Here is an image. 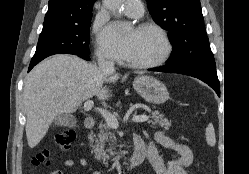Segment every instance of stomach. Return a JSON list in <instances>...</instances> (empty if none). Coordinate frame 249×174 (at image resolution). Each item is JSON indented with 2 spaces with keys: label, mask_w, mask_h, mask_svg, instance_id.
Here are the masks:
<instances>
[{
  "label": "stomach",
  "mask_w": 249,
  "mask_h": 174,
  "mask_svg": "<svg viewBox=\"0 0 249 174\" xmlns=\"http://www.w3.org/2000/svg\"><path fill=\"white\" fill-rule=\"evenodd\" d=\"M133 86L139 95L150 103L162 104L169 99L167 88L156 78L139 76L135 78Z\"/></svg>",
  "instance_id": "0dacf381"
}]
</instances>
